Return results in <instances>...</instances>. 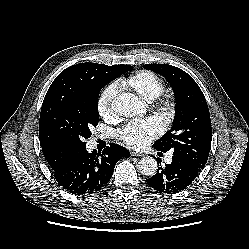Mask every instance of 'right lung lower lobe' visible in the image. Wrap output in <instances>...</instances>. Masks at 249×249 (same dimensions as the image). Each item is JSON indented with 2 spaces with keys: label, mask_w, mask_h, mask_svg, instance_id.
<instances>
[{
  "label": "right lung lower lobe",
  "mask_w": 249,
  "mask_h": 249,
  "mask_svg": "<svg viewBox=\"0 0 249 249\" xmlns=\"http://www.w3.org/2000/svg\"><path fill=\"white\" fill-rule=\"evenodd\" d=\"M129 156L125 147L115 143H111L102 154L95 150L89 153L85 148L53 171V175L58 184L70 193L90 195L103 189L111 179L116 163Z\"/></svg>",
  "instance_id": "obj_1"
}]
</instances>
